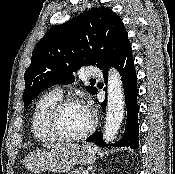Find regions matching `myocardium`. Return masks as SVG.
I'll return each instance as SVG.
<instances>
[{
    "label": "myocardium",
    "instance_id": "myocardium-1",
    "mask_svg": "<svg viewBox=\"0 0 175 174\" xmlns=\"http://www.w3.org/2000/svg\"><path fill=\"white\" fill-rule=\"evenodd\" d=\"M70 104H82L86 106L85 102L77 96H69L66 98H61L58 100L50 109L47 115V127L50 133L57 139L61 141H80L88 137L95 129L96 119L91 115V122L89 127L80 134L68 135L62 132L59 126V117L62 110ZM87 107V106H86ZM88 108V107H87Z\"/></svg>",
    "mask_w": 175,
    "mask_h": 174
}]
</instances>
